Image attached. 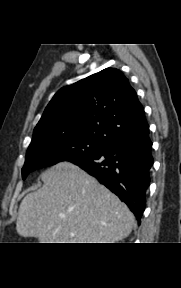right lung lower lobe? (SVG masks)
Instances as JSON below:
<instances>
[{
  "label": "right lung lower lobe",
  "mask_w": 181,
  "mask_h": 288,
  "mask_svg": "<svg viewBox=\"0 0 181 288\" xmlns=\"http://www.w3.org/2000/svg\"><path fill=\"white\" fill-rule=\"evenodd\" d=\"M149 137L138 142H118L96 154L71 161L99 180L134 213L138 223L145 210L146 191L153 165Z\"/></svg>",
  "instance_id": "right-lung-lower-lobe-1"
}]
</instances>
